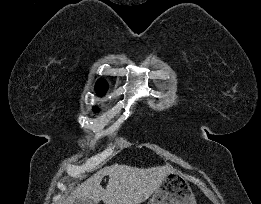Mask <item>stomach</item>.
Wrapping results in <instances>:
<instances>
[{"mask_svg":"<svg viewBox=\"0 0 261 204\" xmlns=\"http://www.w3.org/2000/svg\"><path fill=\"white\" fill-rule=\"evenodd\" d=\"M150 204H196V199L184 176L173 171L154 191Z\"/></svg>","mask_w":261,"mask_h":204,"instance_id":"obj_1","label":"stomach"}]
</instances>
